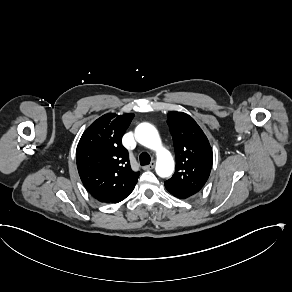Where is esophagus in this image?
<instances>
[{
    "label": "esophagus",
    "mask_w": 292,
    "mask_h": 292,
    "mask_svg": "<svg viewBox=\"0 0 292 292\" xmlns=\"http://www.w3.org/2000/svg\"><path fill=\"white\" fill-rule=\"evenodd\" d=\"M155 166V161H152L149 165L143 166V170H152Z\"/></svg>",
    "instance_id": "1"
}]
</instances>
